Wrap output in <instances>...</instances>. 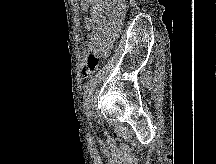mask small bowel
<instances>
[{"label": "small bowel", "mask_w": 216, "mask_h": 164, "mask_svg": "<svg viewBox=\"0 0 216 164\" xmlns=\"http://www.w3.org/2000/svg\"><path fill=\"white\" fill-rule=\"evenodd\" d=\"M82 7L84 10L90 9L87 26L91 30L84 51L104 57L118 35L125 12V0H83Z\"/></svg>", "instance_id": "c3829d8e"}]
</instances>
